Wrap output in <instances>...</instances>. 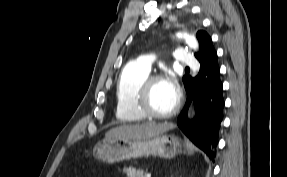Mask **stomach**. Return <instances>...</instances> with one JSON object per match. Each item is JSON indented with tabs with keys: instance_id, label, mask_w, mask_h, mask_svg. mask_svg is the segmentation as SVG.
Masks as SVG:
<instances>
[{
	"instance_id": "stomach-1",
	"label": "stomach",
	"mask_w": 287,
	"mask_h": 177,
	"mask_svg": "<svg viewBox=\"0 0 287 177\" xmlns=\"http://www.w3.org/2000/svg\"><path fill=\"white\" fill-rule=\"evenodd\" d=\"M181 152L180 140L167 133L143 140L106 138L97 143L93 149L94 157L107 163L150 155L170 159Z\"/></svg>"
}]
</instances>
